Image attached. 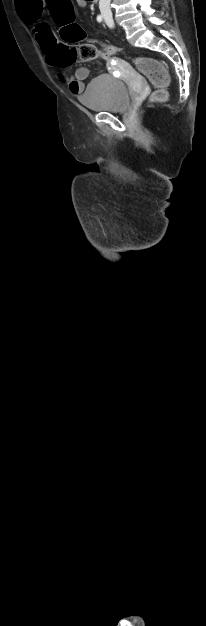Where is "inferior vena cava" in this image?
<instances>
[{
    "mask_svg": "<svg viewBox=\"0 0 206 626\" xmlns=\"http://www.w3.org/2000/svg\"><path fill=\"white\" fill-rule=\"evenodd\" d=\"M110 1L111 0H99V9H100L101 14L104 17L112 16V12L110 9Z\"/></svg>",
    "mask_w": 206,
    "mask_h": 626,
    "instance_id": "inferior-vena-cava-1",
    "label": "inferior vena cava"
}]
</instances>
